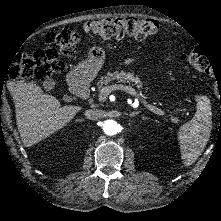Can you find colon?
Masks as SVG:
<instances>
[{"instance_id":"1","label":"colon","mask_w":221,"mask_h":221,"mask_svg":"<svg viewBox=\"0 0 221 221\" xmlns=\"http://www.w3.org/2000/svg\"><path fill=\"white\" fill-rule=\"evenodd\" d=\"M84 31L104 38H120L128 35L143 39L157 31V25L141 16H118L90 20L84 23ZM80 41V36L68 30L49 31L44 35L48 46L33 54H20L10 70V79L21 81L32 76L51 80L53 73L59 72L62 63L57 60L60 54L72 55ZM183 61L195 67L201 73H210L211 61L202 53L193 51L182 57Z\"/></svg>"}]
</instances>
